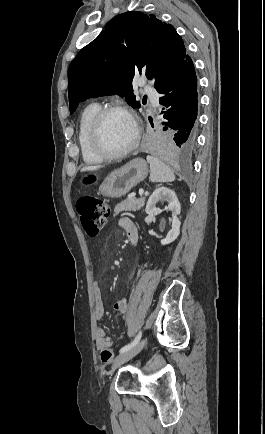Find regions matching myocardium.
Wrapping results in <instances>:
<instances>
[{
	"mask_svg": "<svg viewBox=\"0 0 265 434\" xmlns=\"http://www.w3.org/2000/svg\"><path fill=\"white\" fill-rule=\"evenodd\" d=\"M117 112L124 113L131 118L135 127V139L132 145L126 150L121 152H112L106 147L103 140L104 124L109 115ZM91 141L94 149L103 159L119 160L129 156L139 147L141 141V131L135 119L125 107L119 105H108L101 107L94 118L92 125Z\"/></svg>",
	"mask_w": 265,
	"mask_h": 434,
	"instance_id": "obj_1",
	"label": "myocardium"
}]
</instances>
